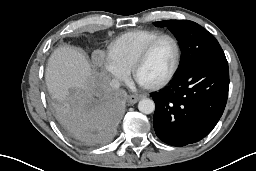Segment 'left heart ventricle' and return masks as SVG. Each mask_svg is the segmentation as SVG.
Masks as SVG:
<instances>
[{
  "label": "left heart ventricle",
  "instance_id": "obj_1",
  "mask_svg": "<svg viewBox=\"0 0 256 171\" xmlns=\"http://www.w3.org/2000/svg\"><path fill=\"white\" fill-rule=\"evenodd\" d=\"M175 59V47L170 39H162L151 51L147 61L137 73L141 84H153L164 79L170 72Z\"/></svg>",
  "mask_w": 256,
  "mask_h": 171
}]
</instances>
